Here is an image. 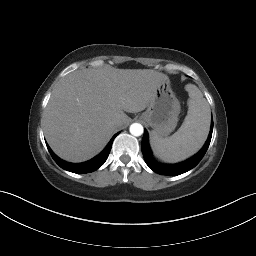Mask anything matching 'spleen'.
I'll return each mask as SVG.
<instances>
[{
  "instance_id": "spleen-1",
  "label": "spleen",
  "mask_w": 256,
  "mask_h": 256,
  "mask_svg": "<svg viewBox=\"0 0 256 256\" xmlns=\"http://www.w3.org/2000/svg\"><path fill=\"white\" fill-rule=\"evenodd\" d=\"M188 112L181 127L172 136L160 138L152 132L150 144L156 157L175 163L195 154L204 144L210 127V108L202 92L187 85Z\"/></svg>"
}]
</instances>
